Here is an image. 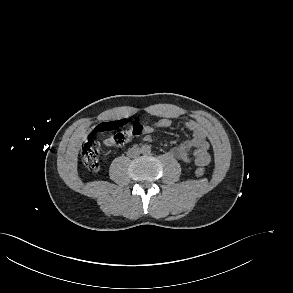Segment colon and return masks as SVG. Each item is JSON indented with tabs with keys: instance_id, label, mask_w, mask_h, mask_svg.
Here are the masks:
<instances>
[{
	"instance_id": "5ec220e1",
	"label": "colon",
	"mask_w": 293,
	"mask_h": 293,
	"mask_svg": "<svg viewBox=\"0 0 293 293\" xmlns=\"http://www.w3.org/2000/svg\"><path fill=\"white\" fill-rule=\"evenodd\" d=\"M144 126L140 123L131 124L127 120L103 122L97 127L98 133H108L110 136L106 144L110 146H123L134 138L141 135ZM100 144L98 141L89 139L81 149V160L85 167L91 171H97L100 167ZM206 170L203 167L197 168L196 176L201 177Z\"/></svg>"
}]
</instances>
